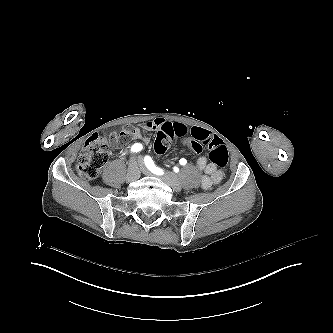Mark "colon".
<instances>
[{
  "instance_id": "5ec220e1",
  "label": "colon",
  "mask_w": 333,
  "mask_h": 333,
  "mask_svg": "<svg viewBox=\"0 0 333 333\" xmlns=\"http://www.w3.org/2000/svg\"><path fill=\"white\" fill-rule=\"evenodd\" d=\"M136 135V128L133 125H126L123 129H111L108 133L90 137L79 156L77 170L81 177L95 179L100 170L108 160V149H121L124 142ZM181 140L176 144L182 145L185 141L192 152L199 154L203 152L205 146L209 149L210 161L220 169L228 166L229 156L225 143L219 138H214L207 130L191 126L168 123L163 126L155 137V148L158 153H166L172 143V139Z\"/></svg>"
}]
</instances>
